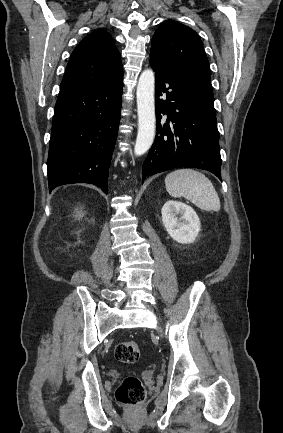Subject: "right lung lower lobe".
<instances>
[{
    "label": "right lung lower lobe",
    "instance_id": "right-lung-lower-lobe-1",
    "mask_svg": "<svg viewBox=\"0 0 283 433\" xmlns=\"http://www.w3.org/2000/svg\"><path fill=\"white\" fill-rule=\"evenodd\" d=\"M122 87L123 77L58 95L47 161L49 192L63 184L90 183L107 193Z\"/></svg>",
    "mask_w": 283,
    "mask_h": 433
}]
</instances>
